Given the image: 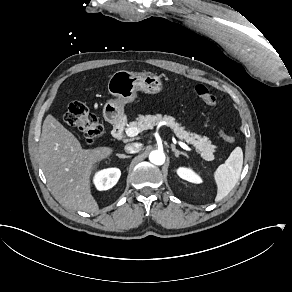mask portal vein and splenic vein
Returning a JSON list of instances; mask_svg holds the SVG:
<instances>
[{
    "label": "portal vein and splenic vein",
    "instance_id": "1",
    "mask_svg": "<svg viewBox=\"0 0 292 292\" xmlns=\"http://www.w3.org/2000/svg\"><path fill=\"white\" fill-rule=\"evenodd\" d=\"M139 133H140V129H138L137 127H131V128L126 129V134L129 137H134L138 135ZM179 145L181 148L185 150H190V148L183 142H179Z\"/></svg>",
    "mask_w": 292,
    "mask_h": 292
}]
</instances>
